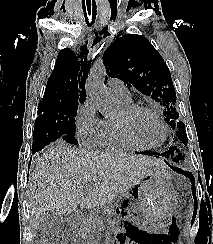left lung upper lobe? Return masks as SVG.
Returning <instances> with one entry per match:
<instances>
[{
  "label": "left lung upper lobe",
  "mask_w": 213,
  "mask_h": 244,
  "mask_svg": "<svg viewBox=\"0 0 213 244\" xmlns=\"http://www.w3.org/2000/svg\"><path fill=\"white\" fill-rule=\"evenodd\" d=\"M103 62L109 76L121 79L162 106L164 120L172 128L175 138L186 146L187 134L175 107L177 97L171 74L152 44L140 35H118L104 52ZM171 150L174 161L182 162L184 156L176 153L175 148Z\"/></svg>",
  "instance_id": "5c2ea615"
}]
</instances>
